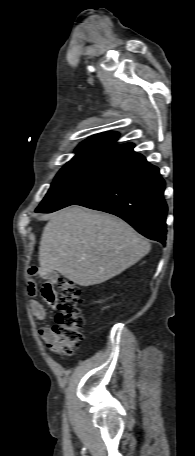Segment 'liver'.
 <instances>
[{
	"label": "liver",
	"mask_w": 195,
	"mask_h": 456,
	"mask_svg": "<svg viewBox=\"0 0 195 456\" xmlns=\"http://www.w3.org/2000/svg\"><path fill=\"white\" fill-rule=\"evenodd\" d=\"M150 244L125 221L79 206L51 215L39 247V273L56 271L80 286L105 282L137 263Z\"/></svg>",
	"instance_id": "6515ba94"
}]
</instances>
